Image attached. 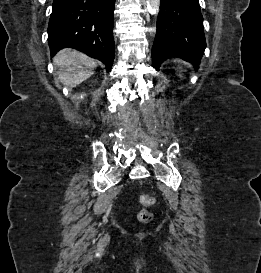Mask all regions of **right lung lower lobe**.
I'll list each match as a JSON object with an SVG mask.
<instances>
[{
  "instance_id": "1",
  "label": "right lung lower lobe",
  "mask_w": 261,
  "mask_h": 273,
  "mask_svg": "<svg viewBox=\"0 0 261 273\" xmlns=\"http://www.w3.org/2000/svg\"><path fill=\"white\" fill-rule=\"evenodd\" d=\"M115 0H54L48 25L51 56L65 47L102 61L107 71L114 60Z\"/></svg>"
}]
</instances>
